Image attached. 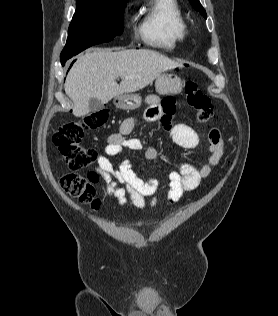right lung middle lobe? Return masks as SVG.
<instances>
[{"label": "right lung middle lobe", "instance_id": "dd1d6c3e", "mask_svg": "<svg viewBox=\"0 0 278 316\" xmlns=\"http://www.w3.org/2000/svg\"><path fill=\"white\" fill-rule=\"evenodd\" d=\"M127 1H76V11L69 26L61 61H66L92 45L108 42L116 35H121Z\"/></svg>", "mask_w": 278, "mask_h": 316}]
</instances>
